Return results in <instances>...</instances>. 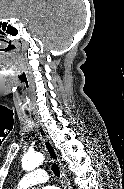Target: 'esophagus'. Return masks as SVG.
<instances>
[{"label":"esophagus","instance_id":"obj_1","mask_svg":"<svg viewBox=\"0 0 124 189\" xmlns=\"http://www.w3.org/2000/svg\"><path fill=\"white\" fill-rule=\"evenodd\" d=\"M36 128H37V131H38L40 138L43 142L45 150L47 151L49 158L53 162H55L59 167V170H60V173H61V178H62L63 189H68L66 173H65L64 167L61 164L58 153H57L56 149L54 148L50 138L46 134L45 128L43 127V125L38 120H36Z\"/></svg>","mask_w":124,"mask_h":189}]
</instances>
